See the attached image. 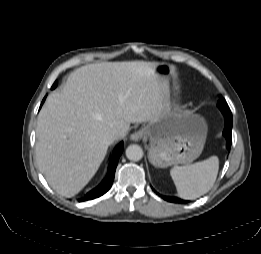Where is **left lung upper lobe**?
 I'll use <instances>...</instances> for the list:
<instances>
[{
  "instance_id": "5c2ea615",
  "label": "left lung upper lobe",
  "mask_w": 261,
  "mask_h": 254,
  "mask_svg": "<svg viewBox=\"0 0 261 254\" xmlns=\"http://www.w3.org/2000/svg\"><path fill=\"white\" fill-rule=\"evenodd\" d=\"M217 106L221 110V112L231 114L229 106L223 97L220 98Z\"/></svg>"
}]
</instances>
